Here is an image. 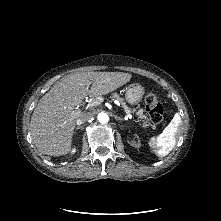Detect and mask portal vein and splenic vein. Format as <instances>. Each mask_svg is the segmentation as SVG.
Masks as SVG:
<instances>
[{"mask_svg":"<svg viewBox=\"0 0 221 221\" xmlns=\"http://www.w3.org/2000/svg\"><path fill=\"white\" fill-rule=\"evenodd\" d=\"M101 102H102V99H99V98H98V99L92 101L89 106H90V107H94V106L99 105ZM75 109H79L78 106L75 107ZM126 113H127V117H128L129 119H132V115L130 114V112L127 111Z\"/></svg>","mask_w":221,"mask_h":221,"instance_id":"18ae733b","label":"portal vein and splenic vein"}]
</instances>
